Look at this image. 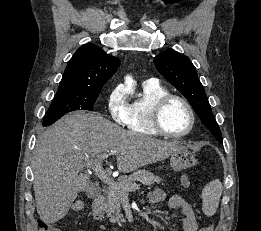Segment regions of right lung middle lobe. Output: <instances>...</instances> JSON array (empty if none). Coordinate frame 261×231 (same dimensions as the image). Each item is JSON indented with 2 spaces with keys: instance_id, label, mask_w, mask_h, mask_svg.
<instances>
[{
  "instance_id": "right-lung-middle-lobe-1",
  "label": "right lung middle lobe",
  "mask_w": 261,
  "mask_h": 231,
  "mask_svg": "<svg viewBox=\"0 0 261 231\" xmlns=\"http://www.w3.org/2000/svg\"><path fill=\"white\" fill-rule=\"evenodd\" d=\"M101 90L57 91L43 121L49 126L60 117L76 110L93 111V106Z\"/></svg>"
}]
</instances>
